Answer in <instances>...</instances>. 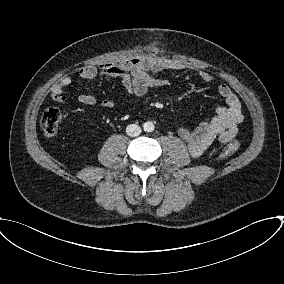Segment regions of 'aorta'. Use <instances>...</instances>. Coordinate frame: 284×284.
<instances>
[{
  "label": "aorta",
  "mask_w": 284,
  "mask_h": 284,
  "mask_svg": "<svg viewBox=\"0 0 284 284\" xmlns=\"http://www.w3.org/2000/svg\"><path fill=\"white\" fill-rule=\"evenodd\" d=\"M144 131L152 132L155 129L154 123L147 121L143 124Z\"/></svg>",
  "instance_id": "762f6f07"
}]
</instances>
